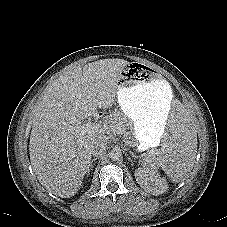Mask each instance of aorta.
Instances as JSON below:
<instances>
[{
	"instance_id": "obj_1",
	"label": "aorta",
	"mask_w": 227,
	"mask_h": 227,
	"mask_svg": "<svg viewBox=\"0 0 227 227\" xmlns=\"http://www.w3.org/2000/svg\"><path fill=\"white\" fill-rule=\"evenodd\" d=\"M110 158L113 160V161H118L121 159L122 157V152L120 149H114L110 152Z\"/></svg>"
}]
</instances>
